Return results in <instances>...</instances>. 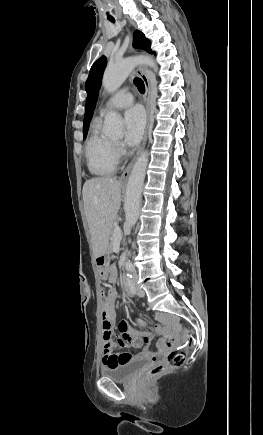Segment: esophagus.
<instances>
[{
	"mask_svg": "<svg viewBox=\"0 0 263 435\" xmlns=\"http://www.w3.org/2000/svg\"><path fill=\"white\" fill-rule=\"evenodd\" d=\"M130 53L131 54L135 53V50L132 47L130 48ZM136 73L142 79V81L144 82V85H145L144 105H145L146 113H147V121H146V128H145V133H144V137H143V141L141 143V146L139 147L138 151L136 152L135 156L132 158V160L130 161V163L126 167V169L121 174V177H120L121 180H125L129 177L130 172L133 168V165H134L136 159L138 158V156L140 155V153L142 152V150L146 144L148 131H149V127H150V113H151L150 80H149V77L147 75L146 67L144 65H138L136 68Z\"/></svg>",
	"mask_w": 263,
	"mask_h": 435,
	"instance_id": "1",
	"label": "esophagus"
}]
</instances>
